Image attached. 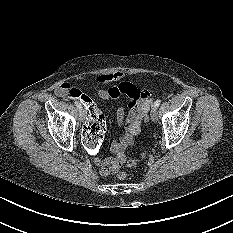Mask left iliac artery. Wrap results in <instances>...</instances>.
<instances>
[{
  "mask_svg": "<svg viewBox=\"0 0 233 233\" xmlns=\"http://www.w3.org/2000/svg\"><path fill=\"white\" fill-rule=\"evenodd\" d=\"M160 103H161V100L160 99H157L156 101H155V103H154V107H159V105H160Z\"/></svg>",
  "mask_w": 233,
  "mask_h": 233,
  "instance_id": "44dca946",
  "label": "left iliac artery"
}]
</instances>
